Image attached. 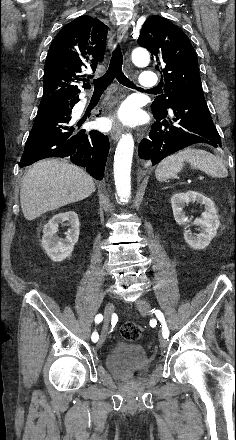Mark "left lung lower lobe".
<instances>
[{
    "label": "left lung lower lobe",
    "mask_w": 236,
    "mask_h": 440,
    "mask_svg": "<svg viewBox=\"0 0 236 440\" xmlns=\"http://www.w3.org/2000/svg\"><path fill=\"white\" fill-rule=\"evenodd\" d=\"M156 122L139 144V157L156 165L168 155L187 146L206 143L221 145L203 91L177 97L165 113H153Z\"/></svg>",
    "instance_id": "left-lung-lower-lobe-1"
}]
</instances>
